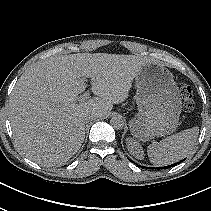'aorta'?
Segmentation results:
<instances>
[{
    "label": "aorta",
    "mask_w": 211,
    "mask_h": 211,
    "mask_svg": "<svg viewBox=\"0 0 211 211\" xmlns=\"http://www.w3.org/2000/svg\"><path fill=\"white\" fill-rule=\"evenodd\" d=\"M110 123L113 128L118 129V130L122 129L125 124L123 118L119 115L112 117L110 120Z\"/></svg>",
    "instance_id": "1"
}]
</instances>
